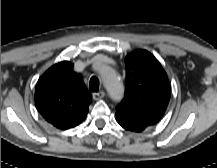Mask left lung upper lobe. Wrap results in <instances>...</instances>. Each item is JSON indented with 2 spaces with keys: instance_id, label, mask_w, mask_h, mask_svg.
<instances>
[{
  "instance_id": "obj_1",
  "label": "left lung upper lobe",
  "mask_w": 217,
  "mask_h": 168,
  "mask_svg": "<svg viewBox=\"0 0 217 168\" xmlns=\"http://www.w3.org/2000/svg\"><path fill=\"white\" fill-rule=\"evenodd\" d=\"M125 96L116 108V120L136 132L157 124L170 100V83L159 61L146 50L125 58Z\"/></svg>"
}]
</instances>
